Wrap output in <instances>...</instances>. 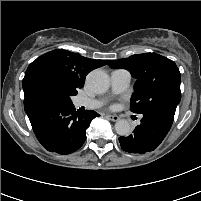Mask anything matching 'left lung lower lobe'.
<instances>
[{
	"label": "left lung lower lobe",
	"instance_id": "obj_1",
	"mask_svg": "<svg viewBox=\"0 0 201 201\" xmlns=\"http://www.w3.org/2000/svg\"><path fill=\"white\" fill-rule=\"evenodd\" d=\"M174 114L168 110H154L143 114L141 124L133 134L119 138L121 148L128 153L144 154L153 151L170 130Z\"/></svg>",
	"mask_w": 201,
	"mask_h": 201
}]
</instances>
